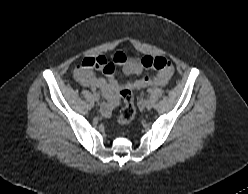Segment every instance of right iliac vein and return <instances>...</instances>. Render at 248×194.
I'll use <instances>...</instances> for the list:
<instances>
[{
    "mask_svg": "<svg viewBox=\"0 0 248 194\" xmlns=\"http://www.w3.org/2000/svg\"><path fill=\"white\" fill-rule=\"evenodd\" d=\"M93 98H94V100H95L96 102H99V100H100V96H99L97 93H95V94L93 95Z\"/></svg>",
    "mask_w": 248,
    "mask_h": 194,
    "instance_id": "obj_1",
    "label": "right iliac vein"
}]
</instances>
